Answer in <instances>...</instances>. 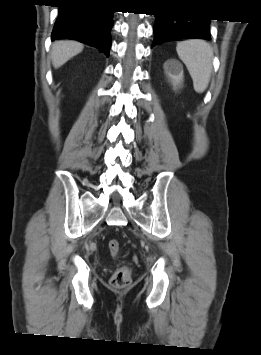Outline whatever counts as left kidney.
<instances>
[{
	"label": "left kidney",
	"mask_w": 261,
	"mask_h": 355,
	"mask_svg": "<svg viewBox=\"0 0 261 355\" xmlns=\"http://www.w3.org/2000/svg\"><path fill=\"white\" fill-rule=\"evenodd\" d=\"M170 79H171L174 87H176L177 85H180L183 81V71H181L178 75L170 74Z\"/></svg>",
	"instance_id": "1"
}]
</instances>
